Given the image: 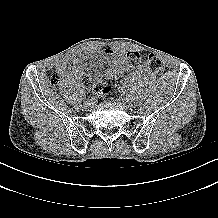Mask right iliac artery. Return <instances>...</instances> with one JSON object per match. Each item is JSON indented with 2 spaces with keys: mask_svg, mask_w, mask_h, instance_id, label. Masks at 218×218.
<instances>
[{
  "mask_svg": "<svg viewBox=\"0 0 218 218\" xmlns=\"http://www.w3.org/2000/svg\"><path fill=\"white\" fill-rule=\"evenodd\" d=\"M87 96L94 97V92H89V95Z\"/></svg>",
  "mask_w": 218,
  "mask_h": 218,
  "instance_id": "1",
  "label": "right iliac artery"
}]
</instances>
